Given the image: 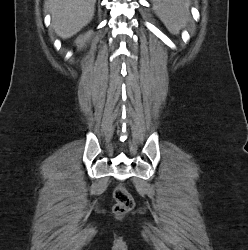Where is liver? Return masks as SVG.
I'll return each mask as SVG.
<instances>
[{"label":"liver","mask_w":248,"mask_h":250,"mask_svg":"<svg viewBox=\"0 0 248 250\" xmlns=\"http://www.w3.org/2000/svg\"><path fill=\"white\" fill-rule=\"evenodd\" d=\"M96 0H47L51 25L62 39L77 34L92 19Z\"/></svg>","instance_id":"liver-1"}]
</instances>
